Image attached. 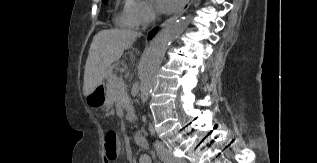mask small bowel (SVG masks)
<instances>
[{"label": "small bowel", "mask_w": 317, "mask_h": 163, "mask_svg": "<svg viewBox=\"0 0 317 163\" xmlns=\"http://www.w3.org/2000/svg\"><path fill=\"white\" fill-rule=\"evenodd\" d=\"M104 163H109L107 159L104 160ZM138 163H152L151 158L148 155H141L138 158Z\"/></svg>", "instance_id": "obj_1"}]
</instances>
